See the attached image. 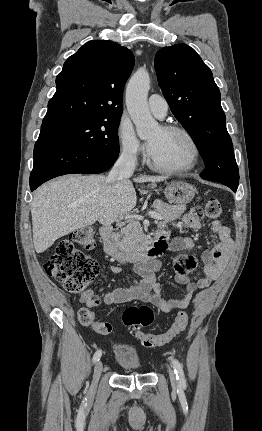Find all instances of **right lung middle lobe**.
<instances>
[{
	"mask_svg": "<svg viewBox=\"0 0 262 431\" xmlns=\"http://www.w3.org/2000/svg\"><path fill=\"white\" fill-rule=\"evenodd\" d=\"M120 117H88L42 125L39 137L67 140L107 155L117 156L119 154L117 129Z\"/></svg>",
	"mask_w": 262,
	"mask_h": 431,
	"instance_id": "dd1d6c3e",
	"label": "right lung middle lobe"
}]
</instances>
